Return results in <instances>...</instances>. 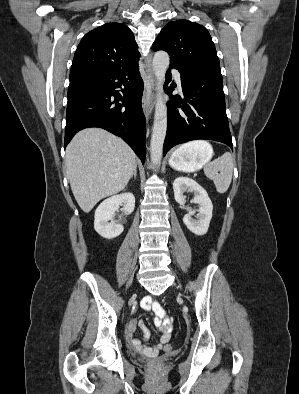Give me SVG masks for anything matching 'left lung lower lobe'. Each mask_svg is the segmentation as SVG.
Wrapping results in <instances>:
<instances>
[{
    "mask_svg": "<svg viewBox=\"0 0 299 394\" xmlns=\"http://www.w3.org/2000/svg\"><path fill=\"white\" fill-rule=\"evenodd\" d=\"M171 68V67H170ZM181 74L183 98L172 95L168 87L172 76L166 73L167 133L163 155L177 144L196 139L215 140L233 148L225 108L222 75L210 71H190Z\"/></svg>",
    "mask_w": 299,
    "mask_h": 394,
    "instance_id": "left-lung-lower-lobe-1",
    "label": "left lung lower lobe"
}]
</instances>
